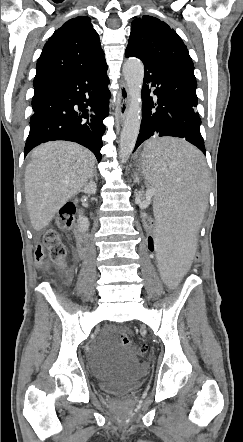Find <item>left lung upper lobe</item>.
Returning a JSON list of instances; mask_svg holds the SVG:
<instances>
[{
    "label": "left lung upper lobe",
    "mask_w": 243,
    "mask_h": 442,
    "mask_svg": "<svg viewBox=\"0 0 243 442\" xmlns=\"http://www.w3.org/2000/svg\"><path fill=\"white\" fill-rule=\"evenodd\" d=\"M128 48L149 59L194 69L182 39L165 22L152 16L132 22Z\"/></svg>",
    "instance_id": "1"
}]
</instances>
